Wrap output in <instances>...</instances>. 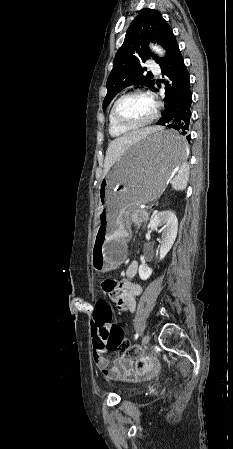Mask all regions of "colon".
I'll return each mask as SVG.
<instances>
[{
    "label": "colon",
    "instance_id": "obj_1",
    "mask_svg": "<svg viewBox=\"0 0 233 449\" xmlns=\"http://www.w3.org/2000/svg\"><path fill=\"white\" fill-rule=\"evenodd\" d=\"M113 315V310H110L106 303H101L99 310L93 311L94 319L90 320L91 331L94 334L93 348L118 351L127 357H135L139 347L130 344L121 326L111 323Z\"/></svg>",
    "mask_w": 233,
    "mask_h": 449
}]
</instances>
